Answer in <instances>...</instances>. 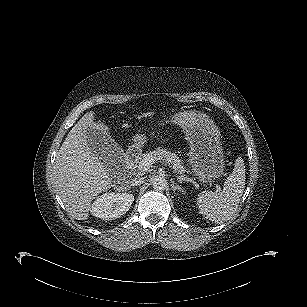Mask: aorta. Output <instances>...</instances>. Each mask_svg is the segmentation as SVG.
Returning a JSON list of instances; mask_svg holds the SVG:
<instances>
[{
    "mask_svg": "<svg viewBox=\"0 0 307 307\" xmlns=\"http://www.w3.org/2000/svg\"><path fill=\"white\" fill-rule=\"evenodd\" d=\"M152 187L157 191H162L167 187V181L163 177L156 176L152 180Z\"/></svg>",
    "mask_w": 307,
    "mask_h": 307,
    "instance_id": "obj_1",
    "label": "aorta"
}]
</instances>
